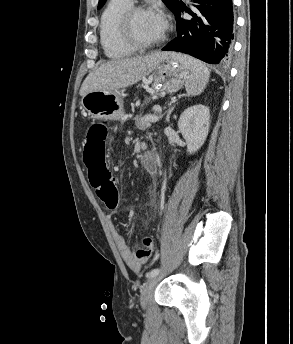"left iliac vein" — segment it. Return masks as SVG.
I'll return each mask as SVG.
<instances>
[{"mask_svg": "<svg viewBox=\"0 0 293 344\" xmlns=\"http://www.w3.org/2000/svg\"><path fill=\"white\" fill-rule=\"evenodd\" d=\"M158 278L156 276L150 278L146 284L144 285L142 292H141V296H140V304L142 306V308H146L150 297L153 293V290L157 284Z\"/></svg>", "mask_w": 293, "mask_h": 344, "instance_id": "1", "label": "left iliac vein"}]
</instances>
